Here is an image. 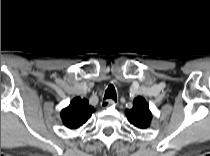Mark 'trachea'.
Wrapping results in <instances>:
<instances>
[{
  "label": "trachea",
  "instance_id": "3493384b",
  "mask_svg": "<svg viewBox=\"0 0 210 156\" xmlns=\"http://www.w3.org/2000/svg\"><path fill=\"white\" fill-rule=\"evenodd\" d=\"M104 99H111L115 102L117 101V95L113 85H109L106 89Z\"/></svg>",
  "mask_w": 210,
  "mask_h": 156
}]
</instances>
